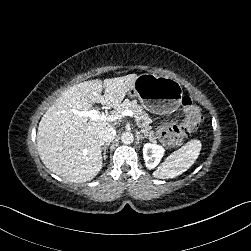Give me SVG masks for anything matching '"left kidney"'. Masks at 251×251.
Masks as SVG:
<instances>
[{
	"mask_svg": "<svg viewBox=\"0 0 251 251\" xmlns=\"http://www.w3.org/2000/svg\"><path fill=\"white\" fill-rule=\"evenodd\" d=\"M165 149L156 143H146L143 146V158L148 169H154L164 156Z\"/></svg>",
	"mask_w": 251,
	"mask_h": 251,
	"instance_id": "obj_1",
	"label": "left kidney"
}]
</instances>
